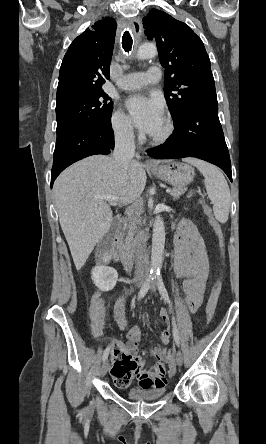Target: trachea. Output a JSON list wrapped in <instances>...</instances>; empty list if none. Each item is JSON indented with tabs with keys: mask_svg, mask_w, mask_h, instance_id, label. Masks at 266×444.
I'll return each instance as SVG.
<instances>
[{
	"mask_svg": "<svg viewBox=\"0 0 266 444\" xmlns=\"http://www.w3.org/2000/svg\"><path fill=\"white\" fill-rule=\"evenodd\" d=\"M133 44V39L128 31H125L122 37V47L125 52H130Z\"/></svg>",
	"mask_w": 266,
	"mask_h": 444,
	"instance_id": "3493384b",
	"label": "trachea"
}]
</instances>
